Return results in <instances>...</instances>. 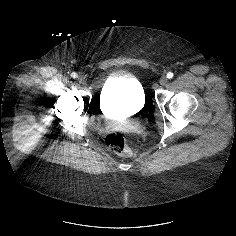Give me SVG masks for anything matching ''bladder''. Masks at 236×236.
<instances>
[{
  "mask_svg": "<svg viewBox=\"0 0 236 236\" xmlns=\"http://www.w3.org/2000/svg\"><path fill=\"white\" fill-rule=\"evenodd\" d=\"M145 93L140 81L131 74L119 73L111 76L101 88L99 106L103 112L115 113L119 107L125 115L139 112L143 108Z\"/></svg>",
  "mask_w": 236,
  "mask_h": 236,
  "instance_id": "obj_1",
  "label": "bladder"
}]
</instances>
